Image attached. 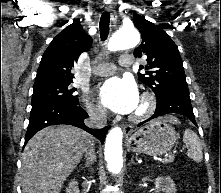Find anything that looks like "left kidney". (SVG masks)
<instances>
[{"label":"left kidney","instance_id":"1","mask_svg":"<svg viewBox=\"0 0 221 193\" xmlns=\"http://www.w3.org/2000/svg\"><path fill=\"white\" fill-rule=\"evenodd\" d=\"M155 187L164 193H176V186L169 176L157 177Z\"/></svg>","mask_w":221,"mask_h":193}]
</instances>
